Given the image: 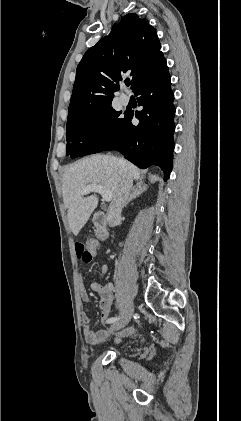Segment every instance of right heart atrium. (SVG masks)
I'll return each instance as SVG.
<instances>
[{"label": "right heart atrium", "mask_w": 241, "mask_h": 421, "mask_svg": "<svg viewBox=\"0 0 241 421\" xmlns=\"http://www.w3.org/2000/svg\"><path fill=\"white\" fill-rule=\"evenodd\" d=\"M104 130V126L103 125H100L99 127H98V131L99 132H101V131H103Z\"/></svg>", "instance_id": "d8ad5b80"}]
</instances>
